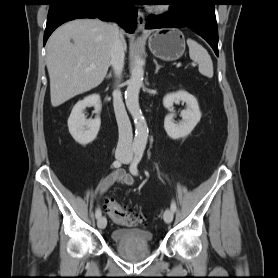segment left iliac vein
I'll return each instance as SVG.
<instances>
[{"mask_svg":"<svg viewBox=\"0 0 278 278\" xmlns=\"http://www.w3.org/2000/svg\"><path fill=\"white\" fill-rule=\"evenodd\" d=\"M124 163L126 164H129L131 162V157L130 156H127L124 160ZM173 211L171 209H167L165 212H164V215H163V218H164V221L169 224L172 222L173 220Z\"/></svg>","mask_w":278,"mask_h":278,"instance_id":"left-iliac-vein-1","label":"left iliac vein"}]
</instances>
